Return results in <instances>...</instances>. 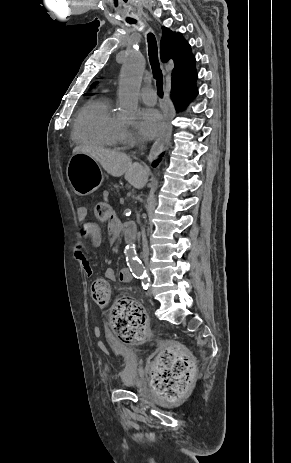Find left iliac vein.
<instances>
[{
  "label": "left iliac vein",
  "instance_id": "obj_1",
  "mask_svg": "<svg viewBox=\"0 0 291 463\" xmlns=\"http://www.w3.org/2000/svg\"><path fill=\"white\" fill-rule=\"evenodd\" d=\"M148 295H151V292H150V291L148 292Z\"/></svg>",
  "mask_w": 291,
  "mask_h": 463
}]
</instances>
